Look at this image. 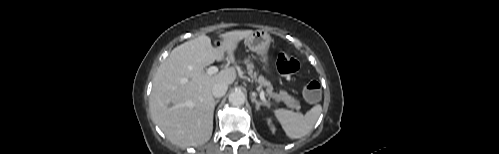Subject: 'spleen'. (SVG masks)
<instances>
[{
    "label": "spleen",
    "instance_id": "spleen-1",
    "mask_svg": "<svg viewBox=\"0 0 499 154\" xmlns=\"http://www.w3.org/2000/svg\"><path fill=\"white\" fill-rule=\"evenodd\" d=\"M321 112L322 106L318 104L305 115L286 109H276L274 115L290 139H299L311 132Z\"/></svg>",
    "mask_w": 499,
    "mask_h": 154
}]
</instances>
